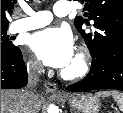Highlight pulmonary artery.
Returning a JSON list of instances; mask_svg holds the SVG:
<instances>
[{
  "label": "pulmonary artery",
  "mask_w": 123,
  "mask_h": 113,
  "mask_svg": "<svg viewBox=\"0 0 123 113\" xmlns=\"http://www.w3.org/2000/svg\"><path fill=\"white\" fill-rule=\"evenodd\" d=\"M71 4L67 1H58L53 6V13L56 16L63 17L70 13ZM26 17L17 19L12 25L13 32H22L37 29L49 24L53 15L50 11H34L29 7L24 8Z\"/></svg>",
  "instance_id": "1"
}]
</instances>
